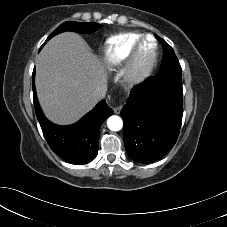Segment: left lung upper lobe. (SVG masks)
<instances>
[{
  "label": "left lung upper lobe",
  "instance_id": "5c2ea615",
  "mask_svg": "<svg viewBox=\"0 0 227 227\" xmlns=\"http://www.w3.org/2000/svg\"><path fill=\"white\" fill-rule=\"evenodd\" d=\"M157 38L163 46V59L158 75H171L181 78L182 69L172 47L159 36Z\"/></svg>",
  "mask_w": 227,
  "mask_h": 227
}]
</instances>
